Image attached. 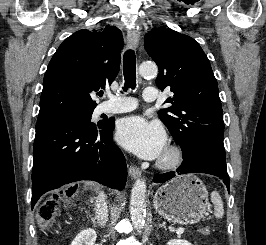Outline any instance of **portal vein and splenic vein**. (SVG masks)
<instances>
[{
  "label": "portal vein and splenic vein",
  "mask_w": 266,
  "mask_h": 245,
  "mask_svg": "<svg viewBox=\"0 0 266 245\" xmlns=\"http://www.w3.org/2000/svg\"><path fill=\"white\" fill-rule=\"evenodd\" d=\"M177 235H182V233H184V229H178V231H176Z\"/></svg>",
  "instance_id": "1"
}]
</instances>
